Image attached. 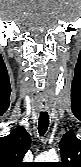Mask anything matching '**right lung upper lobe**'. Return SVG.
<instances>
[{"label":"right lung upper lobe","instance_id":"right-lung-upper-lobe-1","mask_svg":"<svg viewBox=\"0 0 81 167\" xmlns=\"http://www.w3.org/2000/svg\"><path fill=\"white\" fill-rule=\"evenodd\" d=\"M31 144L30 135L24 127L15 128L9 135L0 138V167H27L22 162Z\"/></svg>","mask_w":81,"mask_h":167}]
</instances>
